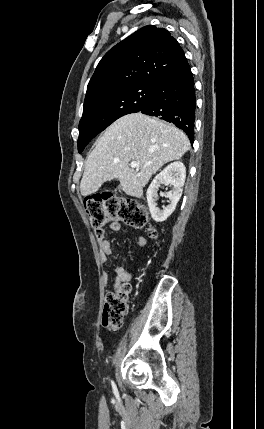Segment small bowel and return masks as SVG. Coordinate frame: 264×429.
I'll return each instance as SVG.
<instances>
[{"label":"small bowel","instance_id":"small-bowel-1","mask_svg":"<svg viewBox=\"0 0 264 429\" xmlns=\"http://www.w3.org/2000/svg\"><path fill=\"white\" fill-rule=\"evenodd\" d=\"M110 229L114 232L119 231L121 229L120 222L112 221L110 223ZM96 238H97V242H98V245L100 248L101 259L103 262H106L107 259L113 255V250H112L111 244L107 240L103 230L101 232H96ZM136 243H137L138 247L144 248L147 244V241L144 237L139 236L137 238ZM132 277H133V275L129 272L117 270L116 276L114 279L115 280V287H118L121 282L130 281L132 279Z\"/></svg>","mask_w":264,"mask_h":429}]
</instances>
